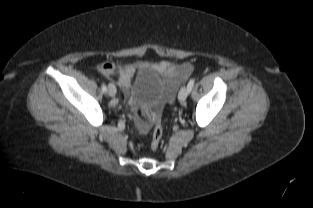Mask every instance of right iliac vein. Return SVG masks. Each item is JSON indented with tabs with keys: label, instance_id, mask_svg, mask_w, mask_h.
Here are the masks:
<instances>
[{
	"label": "right iliac vein",
	"instance_id": "obj_1",
	"mask_svg": "<svg viewBox=\"0 0 313 208\" xmlns=\"http://www.w3.org/2000/svg\"><path fill=\"white\" fill-rule=\"evenodd\" d=\"M108 94L111 96V97H114L116 95V87L114 84L110 83L108 85Z\"/></svg>",
	"mask_w": 313,
	"mask_h": 208
}]
</instances>
